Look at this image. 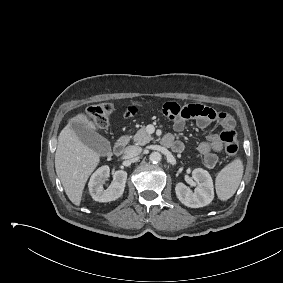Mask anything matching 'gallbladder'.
I'll return each mask as SVG.
<instances>
[{
    "instance_id": "bac80fb5",
    "label": "gallbladder",
    "mask_w": 283,
    "mask_h": 283,
    "mask_svg": "<svg viewBox=\"0 0 283 283\" xmlns=\"http://www.w3.org/2000/svg\"><path fill=\"white\" fill-rule=\"evenodd\" d=\"M71 128L86 146L98 154L102 156L111 154L110 142L95 131L80 123H72Z\"/></svg>"
}]
</instances>
